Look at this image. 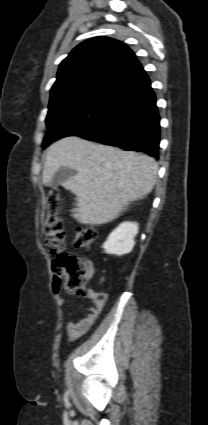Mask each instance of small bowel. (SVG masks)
<instances>
[{
	"label": "small bowel",
	"mask_w": 208,
	"mask_h": 425,
	"mask_svg": "<svg viewBox=\"0 0 208 425\" xmlns=\"http://www.w3.org/2000/svg\"><path fill=\"white\" fill-rule=\"evenodd\" d=\"M92 270L90 268L89 276H91ZM59 278L55 276L53 282V289L55 292V298L58 306L60 307L59 314L62 320L65 318V310L62 308L65 304V300L59 291ZM86 297L93 302V306L88 309L86 316L78 321H69L66 323V329L68 336L71 340H76L86 334L91 327L95 324L99 314L103 310L107 300L108 294L105 292H98L91 288L86 291Z\"/></svg>",
	"instance_id": "1"
}]
</instances>
